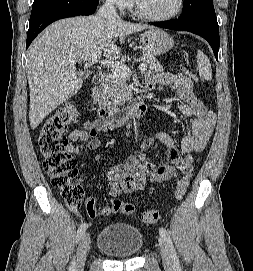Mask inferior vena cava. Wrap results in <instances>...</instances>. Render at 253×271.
<instances>
[{
  "instance_id": "602c4592",
  "label": "inferior vena cava",
  "mask_w": 253,
  "mask_h": 271,
  "mask_svg": "<svg viewBox=\"0 0 253 271\" xmlns=\"http://www.w3.org/2000/svg\"><path fill=\"white\" fill-rule=\"evenodd\" d=\"M97 16L104 18L108 21H115L120 19L116 8L111 0H106V2L100 7Z\"/></svg>"
}]
</instances>
